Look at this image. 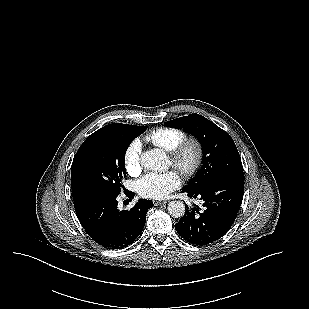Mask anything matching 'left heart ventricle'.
Masks as SVG:
<instances>
[{"instance_id":"1","label":"left heart ventricle","mask_w":309,"mask_h":309,"mask_svg":"<svg viewBox=\"0 0 309 309\" xmlns=\"http://www.w3.org/2000/svg\"><path fill=\"white\" fill-rule=\"evenodd\" d=\"M191 158H192V152H189V153H188V156H187V159L190 160Z\"/></svg>"}]
</instances>
